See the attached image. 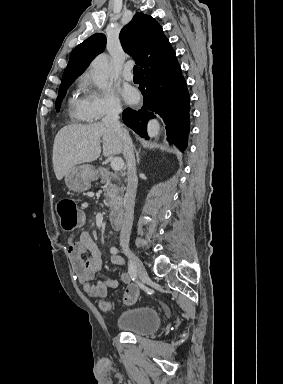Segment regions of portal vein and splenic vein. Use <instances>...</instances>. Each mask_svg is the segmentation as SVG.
<instances>
[{"instance_id": "portal-vein-and-splenic-vein-1", "label": "portal vein and splenic vein", "mask_w": 283, "mask_h": 384, "mask_svg": "<svg viewBox=\"0 0 283 384\" xmlns=\"http://www.w3.org/2000/svg\"><path fill=\"white\" fill-rule=\"evenodd\" d=\"M111 168L114 172H119L123 168V160L122 158H113L111 162Z\"/></svg>"}]
</instances>
